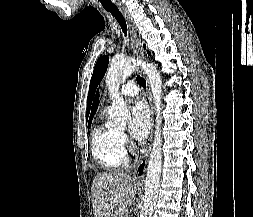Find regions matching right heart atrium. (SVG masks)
Here are the masks:
<instances>
[{
    "instance_id": "1",
    "label": "right heart atrium",
    "mask_w": 253,
    "mask_h": 217,
    "mask_svg": "<svg viewBox=\"0 0 253 217\" xmlns=\"http://www.w3.org/2000/svg\"><path fill=\"white\" fill-rule=\"evenodd\" d=\"M120 139H121V141H122L123 144H126L128 142L127 135L124 134V133L120 134Z\"/></svg>"
}]
</instances>
